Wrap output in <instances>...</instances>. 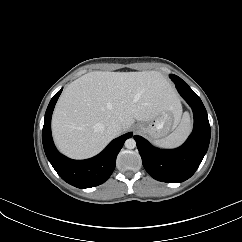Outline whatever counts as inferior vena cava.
Segmentation results:
<instances>
[{"label":"inferior vena cava","instance_id":"1","mask_svg":"<svg viewBox=\"0 0 242 242\" xmlns=\"http://www.w3.org/2000/svg\"><path fill=\"white\" fill-rule=\"evenodd\" d=\"M108 132L113 136L121 134V125L119 123H112L107 128Z\"/></svg>","mask_w":242,"mask_h":242}]
</instances>
